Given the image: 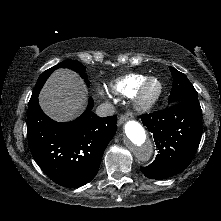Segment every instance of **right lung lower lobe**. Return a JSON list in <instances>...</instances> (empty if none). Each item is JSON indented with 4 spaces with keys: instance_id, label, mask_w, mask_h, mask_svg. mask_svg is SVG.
<instances>
[{
    "instance_id": "1",
    "label": "right lung lower lobe",
    "mask_w": 221,
    "mask_h": 221,
    "mask_svg": "<svg viewBox=\"0 0 221 221\" xmlns=\"http://www.w3.org/2000/svg\"><path fill=\"white\" fill-rule=\"evenodd\" d=\"M38 91L31 96L27 116L28 143L39 167L57 184L77 188L97 174L103 153L116 133L117 117L94 114L93 100L71 122L59 123L40 108Z\"/></svg>"
}]
</instances>
